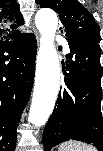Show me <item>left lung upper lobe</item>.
I'll use <instances>...</instances> for the list:
<instances>
[{"label":"left lung upper lobe","instance_id":"obj_1","mask_svg":"<svg viewBox=\"0 0 103 151\" xmlns=\"http://www.w3.org/2000/svg\"><path fill=\"white\" fill-rule=\"evenodd\" d=\"M40 7L55 10L63 24L68 41L94 42L101 41L100 28L92 14L78 0H36Z\"/></svg>","mask_w":103,"mask_h":151}]
</instances>
